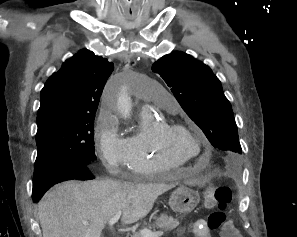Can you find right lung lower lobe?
<instances>
[{
	"mask_svg": "<svg viewBox=\"0 0 297 237\" xmlns=\"http://www.w3.org/2000/svg\"><path fill=\"white\" fill-rule=\"evenodd\" d=\"M95 177L83 164H67L52 170L47 183L40 188L33 186L32 199L37 201L42 198L48 189L53 185L68 180H91Z\"/></svg>",
	"mask_w": 297,
	"mask_h": 237,
	"instance_id": "98d812e1",
	"label": "right lung lower lobe"
}]
</instances>
